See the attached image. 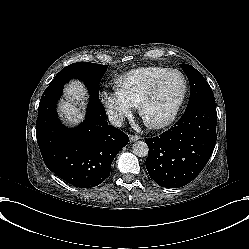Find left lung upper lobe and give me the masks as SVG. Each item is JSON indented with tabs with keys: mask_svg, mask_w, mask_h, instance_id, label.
<instances>
[{
	"mask_svg": "<svg viewBox=\"0 0 249 249\" xmlns=\"http://www.w3.org/2000/svg\"><path fill=\"white\" fill-rule=\"evenodd\" d=\"M180 66L187 75L190 83L191 96L187 107L206 100H215L210 85L198 70L188 64H181Z\"/></svg>",
	"mask_w": 249,
	"mask_h": 249,
	"instance_id": "obj_1",
	"label": "left lung upper lobe"
}]
</instances>
